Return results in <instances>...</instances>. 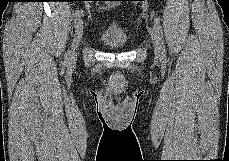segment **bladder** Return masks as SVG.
Instances as JSON below:
<instances>
[{
  "instance_id": "bladder-1",
  "label": "bladder",
  "mask_w": 229,
  "mask_h": 161,
  "mask_svg": "<svg viewBox=\"0 0 229 161\" xmlns=\"http://www.w3.org/2000/svg\"><path fill=\"white\" fill-rule=\"evenodd\" d=\"M100 40L110 49H120L127 44L126 33L116 23H110L107 25L101 34Z\"/></svg>"
}]
</instances>
